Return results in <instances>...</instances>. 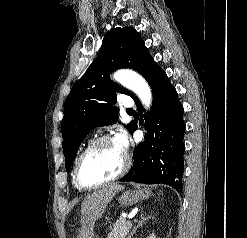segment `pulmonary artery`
Here are the masks:
<instances>
[{
  "label": "pulmonary artery",
  "instance_id": "1",
  "mask_svg": "<svg viewBox=\"0 0 247 238\" xmlns=\"http://www.w3.org/2000/svg\"><path fill=\"white\" fill-rule=\"evenodd\" d=\"M121 104L129 110L132 109L134 102L130 97L124 96L121 100Z\"/></svg>",
  "mask_w": 247,
  "mask_h": 238
}]
</instances>
